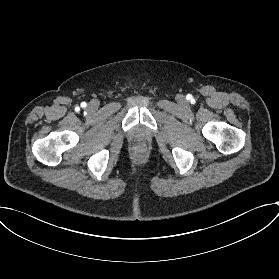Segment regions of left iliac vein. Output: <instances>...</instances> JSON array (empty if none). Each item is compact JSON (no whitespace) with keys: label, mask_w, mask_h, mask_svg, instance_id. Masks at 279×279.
<instances>
[{"label":"left iliac vein","mask_w":279,"mask_h":279,"mask_svg":"<svg viewBox=\"0 0 279 279\" xmlns=\"http://www.w3.org/2000/svg\"><path fill=\"white\" fill-rule=\"evenodd\" d=\"M184 99H185V98H184L183 96H179V97H178V101H179V102H183Z\"/></svg>","instance_id":"obj_1"}]
</instances>
